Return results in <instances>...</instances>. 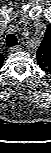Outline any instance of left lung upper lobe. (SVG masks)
Masks as SVG:
<instances>
[{
  "label": "left lung upper lobe",
  "mask_w": 51,
  "mask_h": 153,
  "mask_svg": "<svg viewBox=\"0 0 51 153\" xmlns=\"http://www.w3.org/2000/svg\"><path fill=\"white\" fill-rule=\"evenodd\" d=\"M36 57L39 67L43 71L51 73V24L46 29V34L36 52Z\"/></svg>",
  "instance_id": "obj_1"
}]
</instances>
